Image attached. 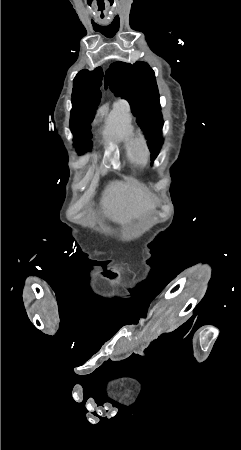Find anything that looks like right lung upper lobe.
<instances>
[{"instance_id": "right-lung-upper-lobe-1", "label": "right lung upper lobe", "mask_w": 241, "mask_h": 450, "mask_svg": "<svg viewBox=\"0 0 241 450\" xmlns=\"http://www.w3.org/2000/svg\"><path fill=\"white\" fill-rule=\"evenodd\" d=\"M80 72H88L90 74H93V75L101 78V79L103 78V71H102V69L100 67L96 68L94 71H91V72L88 71V70H82Z\"/></svg>"}]
</instances>
